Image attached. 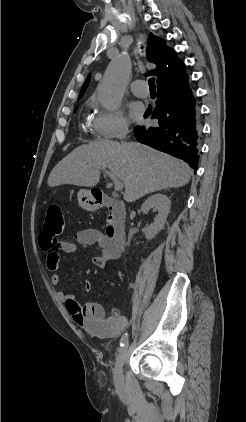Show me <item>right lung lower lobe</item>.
Here are the masks:
<instances>
[{
  "instance_id": "1",
  "label": "right lung lower lobe",
  "mask_w": 246,
  "mask_h": 422,
  "mask_svg": "<svg viewBox=\"0 0 246 422\" xmlns=\"http://www.w3.org/2000/svg\"><path fill=\"white\" fill-rule=\"evenodd\" d=\"M189 77L157 87L156 106L145 117L158 119L153 127L134 129L136 139L187 162L195 171L199 162L200 121Z\"/></svg>"
}]
</instances>
